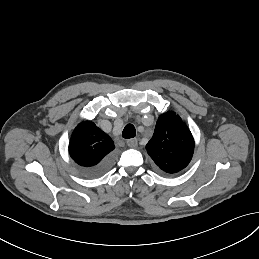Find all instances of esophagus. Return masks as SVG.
Listing matches in <instances>:
<instances>
[{"mask_svg":"<svg viewBox=\"0 0 259 259\" xmlns=\"http://www.w3.org/2000/svg\"><path fill=\"white\" fill-rule=\"evenodd\" d=\"M127 145L130 147V148H136L137 145H138V142H137V139H129L127 141Z\"/></svg>","mask_w":259,"mask_h":259,"instance_id":"esophagus-1","label":"esophagus"}]
</instances>
